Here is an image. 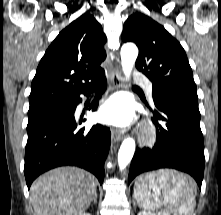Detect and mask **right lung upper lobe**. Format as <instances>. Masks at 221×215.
<instances>
[{"instance_id":"right-lung-upper-lobe-1","label":"right lung upper lobe","mask_w":221,"mask_h":215,"mask_svg":"<svg viewBox=\"0 0 221 215\" xmlns=\"http://www.w3.org/2000/svg\"><path fill=\"white\" fill-rule=\"evenodd\" d=\"M107 38L101 25L84 14L63 29L46 50L36 70L29 96L30 109L73 98L104 78Z\"/></svg>"}]
</instances>
